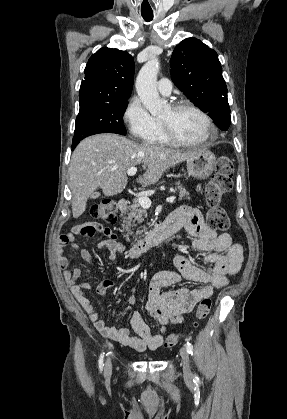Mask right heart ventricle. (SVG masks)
Here are the masks:
<instances>
[{
    "label": "right heart ventricle",
    "mask_w": 287,
    "mask_h": 419,
    "mask_svg": "<svg viewBox=\"0 0 287 419\" xmlns=\"http://www.w3.org/2000/svg\"><path fill=\"white\" fill-rule=\"evenodd\" d=\"M147 143L153 144V145H167L169 142L165 139L161 124L158 122V129L156 132L148 139L146 140Z\"/></svg>",
    "instance_id": "e07e8e85"
}]
</instances>
